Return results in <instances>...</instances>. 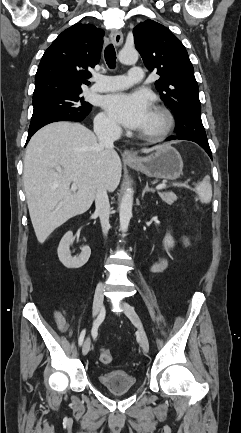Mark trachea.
Wrapping results in <instances>:
<instances>
[{
    "label": "trachea",
    "instance_id": "obj_1",
    "mask_svg": "<svg viewBox=\"0 0 241 433\" xmlns=\"http://www.w3.org/2000/svg\"><path fill=\"white\" fill-rule=\"evenodd\" d=\"M105 61L109 68L114 69L116 63V52L114 46L109 44L104 51Z\"/></svg>",
    "mask_w": 241,
    "mask_h": 433
}]
</instances>
